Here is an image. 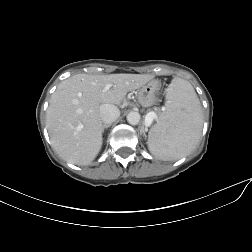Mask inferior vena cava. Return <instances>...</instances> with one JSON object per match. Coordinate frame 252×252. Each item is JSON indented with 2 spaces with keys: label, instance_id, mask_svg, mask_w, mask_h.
I'll use <instances>...</instances> for the list:
<instances>
[{
  "label": "inferior vena cava",
  "instance_id": "obj_1",
  "mask_svg": "<svg viewBox=\"0 0 252 252\" xmlns=\"http://www.w3.org/2000/svg\"><path fill=\"white\" fill-rule=\"evenodd\" d=\"M120 116L119 109L112 104H102L100 106V117L103 123L110 124Z\"/></svg>",
  "mask_w": 252,
  "mask_h": 252
}]
</instances>
